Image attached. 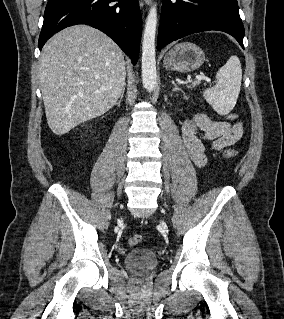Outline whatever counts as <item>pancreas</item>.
Here are the masks:
<instances>
[{
	"instance_id": "pancreas-1",
	"label": "pancreas",
	"mask_w": 284,
	"mask_h": 319,
	"mask_svg": "<svg viewBox=\"0 0 284 319\" xmlns=\"http://www.w3.org/2000/svg\"><path fill=\"white\" fill-rule=\"evenodd\" d=\"M197 84H198V83H193V85H192V86L194 87V86H196Z\"/></svg>"
}]
</instances>
